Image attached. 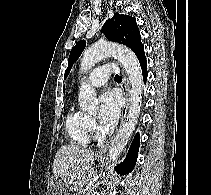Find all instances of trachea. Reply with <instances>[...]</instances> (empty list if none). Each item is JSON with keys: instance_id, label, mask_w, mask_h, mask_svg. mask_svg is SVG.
I'll use <instances>...</instances> for the list:
<instances>
[{"instance_id": "3493384b", "label": "trachea", "mask_w": 211, "mask_h": 195, "mask_svg": "<svg viewBox=\"0 0 211 195\" xmlns=\"http://www.w3.org/2000/svg\"><path fill=\"white\" fill-rule=\"evenodd\" d=\"M114 79H115L116 81H121V80H122L121 77H120L119 75H115Z\"/></svg>"}]
</instances>
